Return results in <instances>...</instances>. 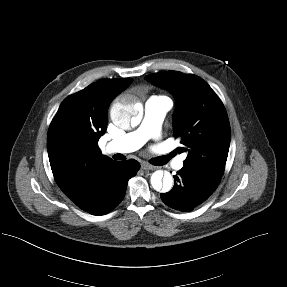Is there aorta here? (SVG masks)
Here are the masks:
<instances>
[{"label": "aorta", "mask_w": 287, "mask_h": 287, "mask_svg": "<svg viewBox=\"0 0 287 287\" xmlns=\"http://www.w3.org/2000/svg\"><path fill=\"white\" fill-rule=\"evenodd\" d=\"M110 116L112 122L120 128L127 129L129 125L134 127L140 123L141 107L135 98H122L112 105ZM150 182L156 191L169 192L173 187V177L162 170L155 171Z\"/></svg>", "instance_id": "1"}]
</instances>
